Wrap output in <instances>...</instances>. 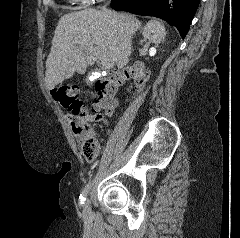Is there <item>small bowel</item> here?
Instances as JSON below:
<instances>
[{"label":"small bowel","instance_id":"small-bowel-1","mask_svg":"<svg viewBox=\"0 0 240 238\" xmlns=\"http://www.w3.org/2000/svg\"><path fill=\"white\" fill-rule=\"evenodd\" d=\"M116 106H117V101H115V104L111 108H109L105 111L104 115H107V116L111 115L114 112V109ZM104 115H102V114H86L85 116H83L81 118V120L84 123L96 122V121H99Z\"/></svg>","mask_w":240,"mask_h":238}]
</instances>
